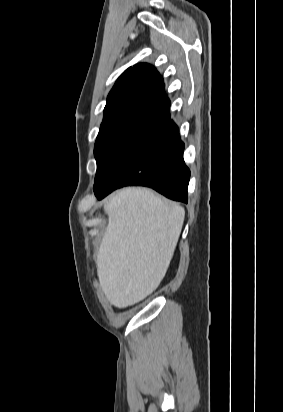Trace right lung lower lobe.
Here are the masks:
<instances>
[{"instance_id":"1","label":"right lung lower lobe","mask_w":283,"mask_h":412,"mask_svg":"<svg viewBox=\"0 0 283 412\" xmlns=\"http://www.w3.org/2000/svg\"><path fill=\"white\" fill-rule=\"evenodd\" d=\"M183 151L184 143L168 113L148 128L138 143L94 184L95 195L102 199L117 188L141 185L187 203L190 170Z\"/></svg>"}]
</instances>
